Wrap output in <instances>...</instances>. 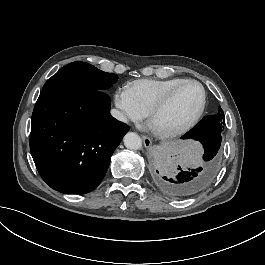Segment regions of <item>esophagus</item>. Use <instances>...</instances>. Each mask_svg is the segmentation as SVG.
Instances as JSON below:
<instances>
[{
  "instance_id": "1",
  "label": "esophagus",
  "mask_w": 265,
  "mask_h": 265,
  "mask_svg": "<svg viewBox=\"0 0 265 265\" xmlns=\"http://www.w3.org/2000/svg\"><path fill=\"white\" fill-rule=\"evenodd\" d=\"M143 143L146 148H149L152 144V141L149 137L142 135Z\"/></svg>"
}]
</instances>
